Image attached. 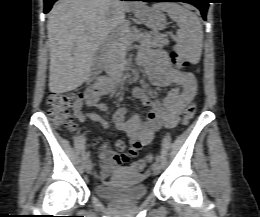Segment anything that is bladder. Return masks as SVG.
Listing matches in <instances>:
<instances>
[{
	"label": "bladder",
	"mask_w": 260,
	"mask_h": 217,
	"mask_svg": "<svg viewBox=\"0 0 260 217\" xmlns=\"http://www.w3.org/2000/svg\"><path fill=\"white\" fill-rule=\"evenodd\" d=\"M141 176L130 167H119L106 184L95 187L97 195L121 205L138 203L147 196V187L140 182Z\"/></svg>",
	"instance_id": "bladder-1"
}]
</instances>
